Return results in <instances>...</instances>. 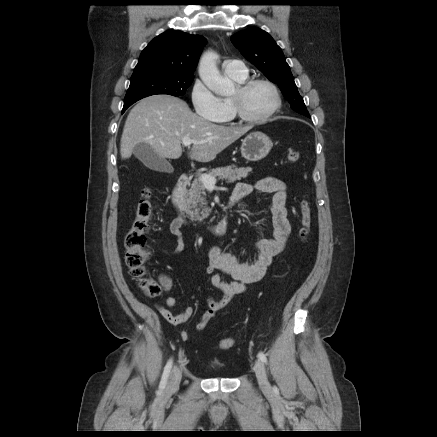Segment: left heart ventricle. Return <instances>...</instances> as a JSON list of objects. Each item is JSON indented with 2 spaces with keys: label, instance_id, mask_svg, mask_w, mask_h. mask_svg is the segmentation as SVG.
Here are the masks:
<instances>
[{
  "label": "left heart ventricle",
  "instance_id": "1",
  "mask_svg": "<svg viewBox=\"0 0 437 437\" xmlns=\"http://www.w3.org/2000/svg\"><path fill=\"white\" fill-rule=\"evenodd\" d=\"M239 95L238 88L232 97ZM274 95L272 90L264 84L253 86L241 97L244 111L252 117H260L270 111L274 105Z\"/></svg>",
  "mask_w": 437,
  "mask_h": 437
}]
</instances>
